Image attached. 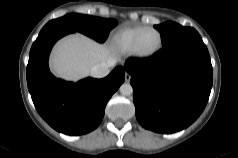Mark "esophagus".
I'll list each match as a JSON object with an SVG mask.
<instances>
[{"instance_id": "34e87169", "label": "esophagus", "mask_w": 238, "mask_h": 158, "mask_svg": "<svg viewBox=\"0 0 238 158\" xmlns=\"http://www.w3.org/2000/svg\"><path fill=\"white\" fill-rule=\"evenodd\" d=\"M131 80V75L129 73H125V81L129 82Z\"/></svg>"}]
</instances>
